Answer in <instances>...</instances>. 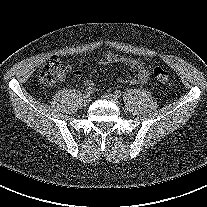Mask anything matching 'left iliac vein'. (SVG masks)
Here are the masks:
<instances>
[{
	"label": "left iliac vein",
	"instance_id": "4c4485c4",
	"mask_svg": "<svg viewBox=\"0 0 207 207\" xmlns=\"http://www.w3.org/2000/svg\"><path fill=\"white\" fill-rule=\"evenodd\" d=\"M103 98H104L105 100H109V101H112V102H114V103H118V102H119L118 97L115 96L114 94H105V95L103 96Z\"/></svg>",
	"mask_w": 207,
	"mask_h": 207
}]
</instances>
